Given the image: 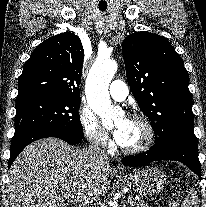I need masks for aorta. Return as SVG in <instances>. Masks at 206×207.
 <instances>
[{"label": "aorta", "instance_id": "1", "mask_svg": "<svg viewBox=\"0 0 206 207\" xmlns=\"http://www.w3.org/2000/svg\"><path fill=\"white\" fill-rule=\"evenodd\" d=\"M118 65L110 58H97L86 81L85 93L88 104L95 114L101 117L103 125L115 120L117 110L110 101L108 86L117 71Z\"/></svg>", "mask_w": 206, "mask_h": 207}]
</instances>
